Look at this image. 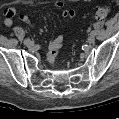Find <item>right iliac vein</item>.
Here are the masks:
<instances>
[{
	"label": "right iliac vein",
	"mask_w": 119,
	"mask_h": 119,
	"mask_svg": "<svg viewBox=\"0 0 119 119\" xmlns=\"http://www.w3.org/2000/svg\"><path fill=\"white\" fill-rule=\"evenodd\" d=\"M25 45H26L27 47L31 48V47L34 46V42L30 40V41L26 42Z\"/></svg>",
	"instance_id": "obj_1"
}]
</instances>
